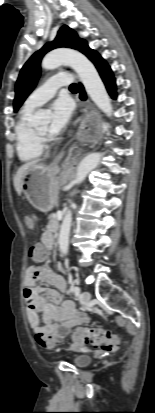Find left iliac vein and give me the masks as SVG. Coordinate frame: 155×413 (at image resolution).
Here are the masks:
<instances>
[{
  "instance_id": "left-iliac-vein-1",
  "label": "left iliac vein",
  "mask_w": 155,
  "mask_h": 413,
  "mask_svg": "<svg viewBox=\"0 0 155 413\" xmlns=\"http://www.w3.org/2000/svg\"><path fill=\"white\" fill-rule=\"evenodd\" d=\"M91 299V294L88 291H83L80 295V302L82 304H87Z\"/></svg>"
}]
</instances>
